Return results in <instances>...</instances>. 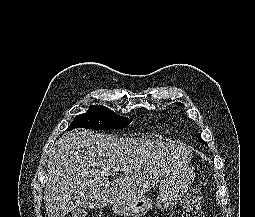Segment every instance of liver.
I'll return each instance as SVG.
<instances>
[{"mask_svg": "<svg viewBox=\"0 0 255 217\" xmlns=\"http://www.w3.org/2000/svg\"><path fill=\"white\" fill-rule=\"evenodd\" d=\"M184 144L118 138L72 130L51 148L44 203L48 217H65L78 207L98 209L144 196L164 177L187 165ZM121 170L110 181L104 172Z\"/></svg>", "mask_w": 255, "mask_h": 217, "instance_id": "1", "label": "liver"}]
</instances>
